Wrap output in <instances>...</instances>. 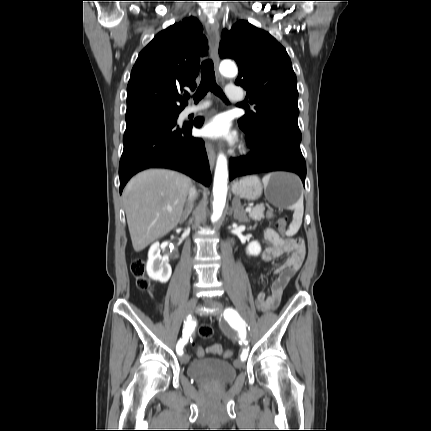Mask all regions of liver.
<instances>
[{"mask_svg": "<svg viewBox=\"0 0 431 431\" xmlns=\"http://www.w3.org/2000/svg\"><path fill=\"white\" fill-rule=\"evenodd\" d=\"M190 186L189 177L165 169L143 171L128 182L122 197L136 252L178 225Z\"/></svg>", "mask_w": 431, "mask_h": 431, "instance_id": "obj_1", "label": "liver"}]
</instances>
